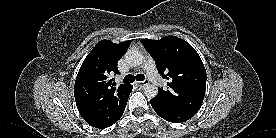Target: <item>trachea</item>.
Returning <instances> with one entry per match:
<instances>
[{
	"mask_svg": "<svg viewBox=\"0 0 276 138\" xmlns=\"http://www.w3.org/2000/svg\"><path fill=\"white\" fill-rule=\"evenodd\" d=\"M135 79L137 81H144L145 76L143 74H137L136 76L128 74L123 79V83L130 84V83H133L135 81Z\"/></svg>",
	"mask_w": 276,
	"mask_h": 138,
	"instance_id": "trachea-1",
	"label": "trachea"
}]
</instances>
